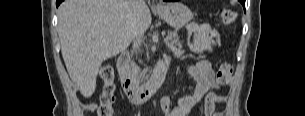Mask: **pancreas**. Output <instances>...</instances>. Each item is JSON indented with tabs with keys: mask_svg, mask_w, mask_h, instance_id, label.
Listing matches in <instances>:
<instances>
[{
	"mask_svg": "<svg viewBox=\"0 0 305 116\" xmlns=\"http://www.w3.org/2000/svg\"><path fill=\"white\" fill-rule=\"evenodd\" d=\"M171 37V43H168V46L175 52L177 53L179 56L183 55V51L181 50L182 48V44L179 40V37L177 36L176 33H171L169 35ZM177 46V48H176ZM191 50L194 53H202L205 50V47L200 45V44H196L193 45L191 47ZM129 73L132 76L133 79L139 81L140 79V69L139 67L135 64L134 61H131L130 66H129Z\"/></svg>",
	"mask_w": 305,
	"mask_h": 116,
	"instance_id": "cf45deb5",
	"label": "pancreas"
}]
</instances>
